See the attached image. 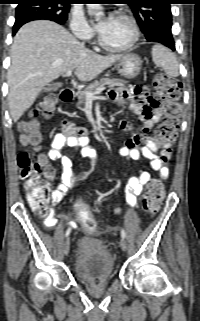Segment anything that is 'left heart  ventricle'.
<instances>
[{"mask_svg": "<svg viewBox=\"0 0 200 321\" xmlns=\"http://www.w3.org/2000/svg\"><path fill=\"white\" fill-rule=\"evenodd\" d=\"M132 26L124 18L114 16L108 27L101 32L104 40L112 46L126 45L132 38Z\"/></svg>", "mask_w": 200, "mask_h": 321, "instance_id": "obj_1", "label": "left heart ventricle"}]
</instances>
